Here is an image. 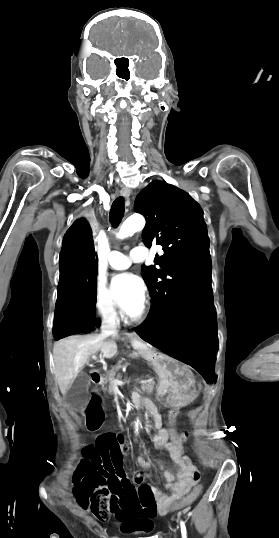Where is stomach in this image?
I'll return each mask as SVG.
<instances>
[{
    "mask_svg": "<svg viewBox=\"0 0 279 538\" xmlns=\"http://www.w3.org/2000/svg\"><path fill=\"white\" fill-rule=\"evenodd\" d=\"M148 361L159 375L154 389L155 398L161 400L163 408L168 409L186 408L189 402L197 398V388L193 385L191 378V367L187 363H179L178 358H170L169 353H149ZM189 401V402H188Z\"/></svg>",
    "mask_w": 279,
    "mask_h": 538,
    "instance_id": "1",
    "label": "stomach"
}]
</instances>
